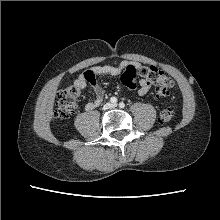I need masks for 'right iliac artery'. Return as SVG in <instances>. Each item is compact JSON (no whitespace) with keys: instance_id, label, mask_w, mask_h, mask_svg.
Instances as JSON below:
<instances>
[{"instance_id":"82829eb1","label":"right iliac artery","mask_w":220,"mask_h":220,"mask_svg":"<svg viewBox=\"0 0 220 220\" xmlns=\"http://www.w3.org/2000/svg\"><path fill=\"white\" fill-rule=\"evenodd\" d=\"M110 102L111 103H116L117 102V98L116 97H111L110 98Z\"/></svg>"}]
</instances>
